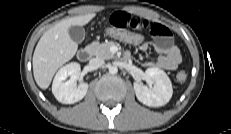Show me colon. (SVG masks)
Segmentation results:
<instances>
[{"instance_id":"colon-1","label":"colon","mask_w":231,"mask_h":134,"mask_svg":"<svg viewBox=\"0 0 231 134\" xmlns=\"http://www.w3.org/2000/svg\"><path fill=\"white\" fill-rule=\"evenodd\" d=\"M105 33L115 40L132 46L140 47L147 43L146 37L143 34L132 30L107 27ZM176 78L179 82H184L187 78V74L184 71H179Z\"/></svg>"}]
</instances>
